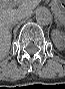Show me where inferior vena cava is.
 <instances>
[{
    "mask_svg": "<svg viewBox=\"0 0 65 89\" xmlns=\"http://www.w3.org/2000/svg\"><path fill=\"white\" fill-rule=\"evenodd\" d=\"M25 16L22 15V16H19V17H16L14 18L12 21H11V24L14 25L16 24L19 20L23 19Z\"/></svg>",
    "mask_w": 65,
    "mask_h": 89,
    "instance_id": "602c4592",
    "label": "inferior vena cava"
}]
</instances>
